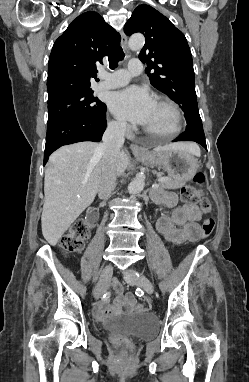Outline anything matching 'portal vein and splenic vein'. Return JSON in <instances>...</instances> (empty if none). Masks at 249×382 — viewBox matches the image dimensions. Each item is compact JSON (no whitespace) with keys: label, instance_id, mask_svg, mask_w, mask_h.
<instances>
[{"label":"portal vein and splenic vein","instance_id":"portal-vein-and-splenic-vein-1","mask_svg":"<svg viewBox=\"0 0 249 382\" xmlns=\"http://www.w3.org/2000/svg\"><path fill=\"white\" fill-rule=\"evenodd\" d=\"M166 180H167V178H164V177H160V178H158V181H159V182H163V181H166ZM152 187H153V188H158L159 185H158L157 183H155V184L152 185Z\"/></svg>","mask_w":249,"mask_h":382}]
</instances>
